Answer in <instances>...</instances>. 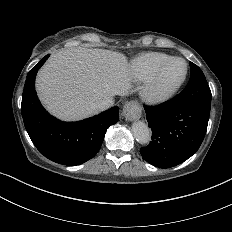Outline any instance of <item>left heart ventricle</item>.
I'll return each instance as SVG.
<instances>
[{"label":"left heart ventricle","instance_id":"obj_1","mask_svg":"<svg viewBox=\"0 0 232 232\" xmlns=\"http://www.w3.org/2000/svg\"><path fill=\"white\" fill-rule=\"evenodd\" d=\"M186 65L182 61L173 63L160 77L157 88L162 89L171 86L182 78L185 73Z\"/></svg>","mask_w":232,"mask_h":232}]
</instances>
